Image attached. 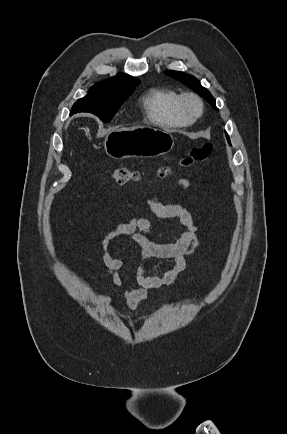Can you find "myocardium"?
<instances>
[{
	"label": "myocardium",
	"instance_id": "myocardium-1",
	"mask_svg": "<svg viewBox=\"0 0 287 434\" xmlns=\"http://www.w3.org/2000/svg\"><path fill=\"white\" fill-rule=\"evenodd\" d=\"M180 112L190 121L199 118L203 111V103L200 97L188 92L179 97L178 102Z\"/></svg>",
	"mask_w": 287,
	"mask_h": 434
}]
</instances>
